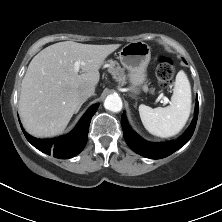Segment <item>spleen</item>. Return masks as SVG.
Returning <instances> with one entry per match:
<instances>
[{
  "label": "spleen",
  "instance_id": "3e777b00",
  "mask_svg": "<svg viewBox=\"0 0 222 222\" xmlns=\"http://www.w3.org/2000/svg\"><path fill=\"white\" fill-rule=\"evenodd\" d=\"M191 111V87L184 71L176 75L173 95L167 107L151 108L141 104L139 114L146 130L158 137L178 134L185 126Z\"/></svg>",
  "mask_w": 222,
  "mask_h": 222
}]
</instances>
